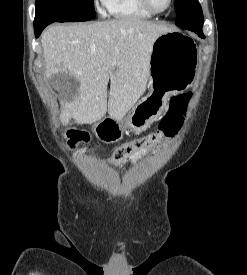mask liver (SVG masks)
<instances>
[{
	"label": "liver",
	"mask_w": 247,
	"mask_h": 275,
	"mask_svg": "<svg viewBox=\"0 0 247 275\" xmlns=\"http://www.w3.org/2000/svg\"><path fill=\"white\" fill-rule=\"evenodd\" d=\"M166 26L138 18L53 26L42 35L46 77L77 79L61 96V122L91 124L107 113L120 121L146 91L152 45ZM110 93L107 104V87Z\"/></svg>",
	"instance_id": "obj_1"
}]
</instances>
